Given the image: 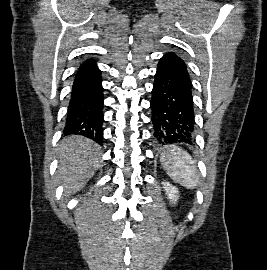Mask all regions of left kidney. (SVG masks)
<instances>
[{
	"label": "left kidney",
	"instance_id": "5707ae66",
	"mask_svg": "<svg viewBox=\"0 0 267 270\" xmlns=\"http://www.w3.org/2000/svg\"><path fill=\"white\" fill-rule=\"evenodd\" d=\"M163 184V188L166 191V194L168 196V199H170V202L172 203H176L179 196H178V189L174 186H172L170 183L168 182H162Z\"/></svg>",
	"mask_w": 267,
	"mask_h": 270
}]
</instances>
